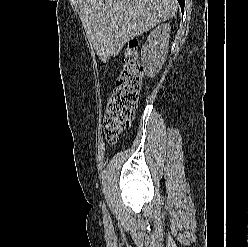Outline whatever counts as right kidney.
I'll return each instance as SVG.
<instances>
[{"label":"right kidney","instance_id":"1","mask_svg":"<svg viewBox=\"0 0 248 247\" xmlns=\"http://www.w3.org/2000/svg\"><path fill=\"white\" fill-rule=\"evenodd\" d=\"M170 24L158 25L148 36L141 49V60L146 75L154 77L164 64L169 44Z\"/></svg>","mask_w":248,"mask_h":247}]
</instances>
